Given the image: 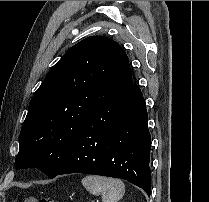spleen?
<instances>
[{
    "label": "spleen",
    "instance_id": "3e777b00",
    "mask_svg": "<svg viewBox=\"0 0 209 202\" xmlns=\"http://www.w3.org/2000/svg\"><path fill=\"white\" fill-rule=\"evenodd\" d=\"M82 185L92 195H101L102 202H118L125 193L124 183L115 178L88 175L82 179Z\"/></svg>",
    "mask_w": 209,
    "mask_h": 202
}]
</instances>
